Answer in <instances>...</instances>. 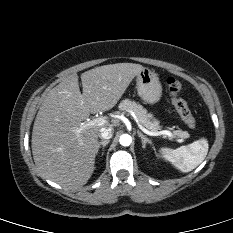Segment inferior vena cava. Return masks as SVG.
<instances>
[{
  "label": "inferior vena cava",
  "mask_w": 233,
  "mask_h": 233,
  "mask_svg": "<svg viewBox=\"0 0 233 233\" xmlns=\"http://www.w3.org/2000/svg\"><path fill=\"white\" fill-rule=\"evenodd\" d=\"M113 136V128L112 127H103L99 131V137L102 139H110Z\"/></svg>",
  "instance_id": "obj_1"
}]
</instances>
